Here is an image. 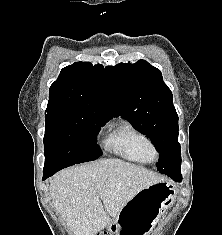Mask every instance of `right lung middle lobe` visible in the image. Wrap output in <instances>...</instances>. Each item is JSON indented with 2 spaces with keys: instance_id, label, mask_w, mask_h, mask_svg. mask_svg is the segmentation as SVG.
I'll return each instance as SVG.
<instances>
[{
  "instance_id": "obj_1",
  "label": "right lung middle lobe",
  "mask_w": 222,
  "mask_h": 235,
  "mask_svg": "<svg viewBox=\"0 0 222 235\" xmlns=\"http://www.w3.org/2000/svg\"><path fill=\"white\" fill-rule=\"evenodd\" d=\"M111 117L64 111L45 114L43 173L57 172L74 164L93 161L102 155L96 136Z\"/></svg>"
}]
</instances>
